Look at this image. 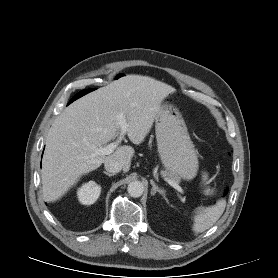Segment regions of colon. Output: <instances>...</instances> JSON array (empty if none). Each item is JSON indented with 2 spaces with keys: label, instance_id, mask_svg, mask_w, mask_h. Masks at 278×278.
I'll use <instances>...</instances> for the list:
<instances>
[{
  "label": "colon",
  "instance_id": "1",
  "mask_svg": "<svg viewBox=\"0 0 278 278\" xmlns=\"http://www.w3.org/2000/svg\"><path fill=\"white\" fill-rule=\"evenodd\" d=\"M205 193L207 194V195H210V196H214V195H216L217 193H218V190L216 189V188H214V187H207L206 189H205Z\"/></svg>",
  "mask_w": 278,
  "mask_h": 278
}]
</instances>
